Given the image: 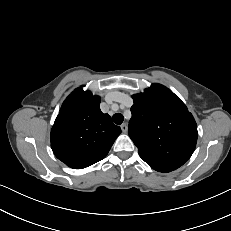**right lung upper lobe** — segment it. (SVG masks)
Segmentation results:
<instances>
[{"instance_id": "cb5924a9", "label": "right lung upper lobe", "mask_w": 231, "mask_h": 231, "mask_svg": "<svg viewBox=\"0 0 231 231\" xmlns=\"http://www.w3.org/2000/svg\"><path fill=\"white\" fill-rule=\"evenodd\" d=\"M120 133L101 112L100 97L79 87L62 104L51 130V147L67 166L82 169L106 157Z\"/></svg>"}]
</instances>
